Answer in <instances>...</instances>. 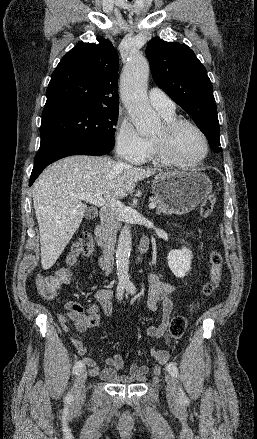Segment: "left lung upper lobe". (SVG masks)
Returning <instances> with one entry per match:
<instances>
[{"instance_id":"left-lung-upper-lobe-1","label":"left lung upper lobe","mask_w":257,"mask_h":439,"mask_svg":"<svg viewBox=\"0 0 257 439\" xmlns=\"http://www.w3.org/2000/svg\"><path fill=\"white\" fill-rule=\"evenodd\" d=\"M146 56L157 86L193 118L219 152L220 127L213 87L194 52L185 44L153 38L147 44Z\"/></svg>"}]
</instances>
